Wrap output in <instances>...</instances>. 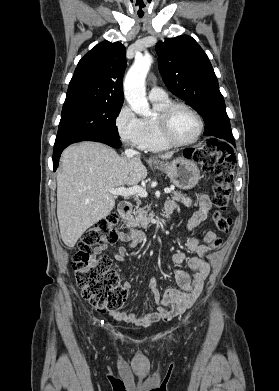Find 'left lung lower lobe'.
Listing matches in <instances>:
<instances>
[{
  "label": "left lung lower lobe",
  "instance_id": "0a47b994",
  "mask_svg": "<svg viewBox=\"0 0 279 391\" xmlns=\"http://www.w3.org/2000/svg\"><path fill=\"white\" fill-rule=\"evenodd\" d=\"M224 139L227 140L228 142L232 143L235 146L233 137L227 135V136L224 137ZM184 155L186 157H189V154L187 152H185V151H184Z\"/></svg>",
  "mask_w": 279,
  "mask_h": 391
}]
</instances>
